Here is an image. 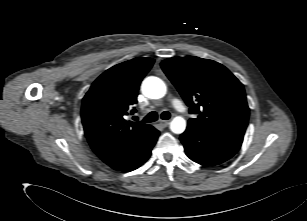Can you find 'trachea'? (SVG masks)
<instances>
[{
    "mask_svg": "<svg viewBox=\"0 0 307 221\" xmlns=\"http://www.w3.org/2000/svg\"><path fill=\"white\" fill-rule=\"evenodd\" d=\"M161 118L164 119V120H167L170 118V113L168 111H164L162 114H161ZM158 119V114L156 112H150L144 119L143 121L144 122H154Z\"/></svg>",
    "mask_w": 307,
    "mask_h": 221,
    "instance_id": "obj_1",
    "label": "trachea"
}]
</instances>
